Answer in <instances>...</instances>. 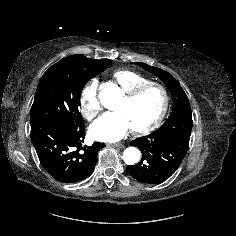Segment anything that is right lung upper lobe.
<instances>
[{"label":"right lung upper lobe","mask_w":236,"mask_h":236,"mask_svg":"<svg viewBox=\"0 0 236 236\" xmlns=\"http://www.w3.org/2000/svg\"><path fill=\"white\" fill-rule=\"evenodd\" d=\"M100 62L101 60L89 59L83 55H72L63 58L53 66L87 70L98 65Z\"/></svg>","instance_id":"1"}]
</instances>
